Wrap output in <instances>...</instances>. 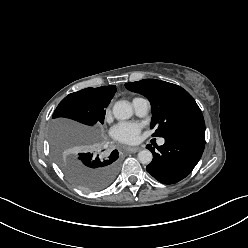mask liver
Wrapping results in <instances>:
<instances>
[{
	"label": "liver",
	"instance_id": "obj_1",
	"mask_svg": "<svg viewBox=\"0 0 248 248\" xmlns=\"http://www.w3.org/2000/svg\"><path fill=\"white\" fill-rule=\"evenodd\" d=\"M55 128L58 129L62 135L76 133L79 135L90 136L92 137V140L94 139L92 129L66 120L57 121L55 123Z\"/></svg>",
	"mask_w": 248,
	"mask_h": 248
}]
</instances>
